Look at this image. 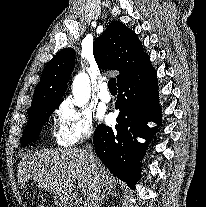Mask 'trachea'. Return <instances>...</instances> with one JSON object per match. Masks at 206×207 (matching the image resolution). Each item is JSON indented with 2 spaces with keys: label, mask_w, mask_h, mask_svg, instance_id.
Here are the masks:
<instances>
[{
  "label": "trachea",
  "mask_w": 206,
  "mask_h": 207,
  "mask_svg": "<svg viewBox=\"0 0 206 207\" xmlns=\"http://www.w3.org/2000/svg\"><path fill=\"white\" fill-rule=\"evenodd\" d=\"M108 88H109L110 91H117L115 78H112V79L109 80Z\"/></svg>",
  "instance_id": "3493384b"
}]
</instances>
